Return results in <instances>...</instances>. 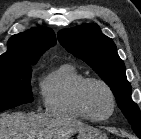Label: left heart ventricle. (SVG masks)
I'll return each instance as SVG.
<instances>
[{"label": "left heart ventricle", "mask_w": 141, "mask_h": 139, "mask_svg": "<svg viewBox=\"0 0 141 139\" xmlns=\"http://www.w3.org/2000/svg\"><path fill=\"white\" fill-rule=\"evenodd\" d=\"M86 101L91 113L96 117H105L110 113L111 100L105 88L91 84L86 90Z\"/></svg>", "instance_id": "obj_1"}]
</instances>
